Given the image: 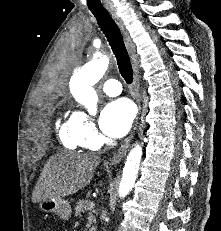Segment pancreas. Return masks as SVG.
<instances>
[{
	"instance_id": "obj_1",
	"label": "pancreas",
	"mask_w": 221,
	"mask_h": 231,
	"mask_svg": "<svg viewBox=\"0 0 221 231\" xmlns=\"http://www.w3.org/2000/svg\"><path fill=\"white\" fill-rule=\"evenodd\" d=\"M88 201L87 200H79L77 203H76V206H75V216L76 217H81L82 213H85V211L88 209ZM96 211H91L89 212V216H88V223H87V228H89V231H96V226H94L93 224L96 223V218H95V214Z\"/></svg>"
}]
</instances>
